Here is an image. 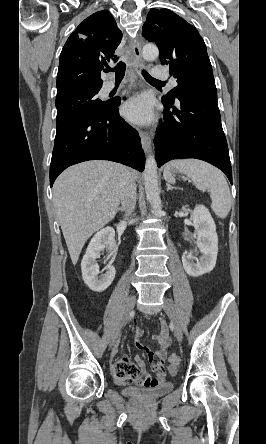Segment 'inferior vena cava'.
<instances>
[{"label": "inferior vena cava", "instance_id": "602c4592", "mask_svg": "<svg viewBox=\"0 0 266 444\" xmlns=\"http://www.w3.org/2000/svg\"><path fill=\"white\" fill-rule=\"evenodd\" d=\"M120 200L125 215L130 216L136 205V184L128 170L123 174Z\"/></svg>", "mask_w": 266, "mask_h": 444}]
</instances>
